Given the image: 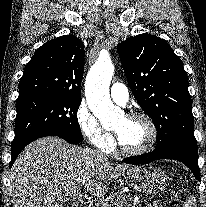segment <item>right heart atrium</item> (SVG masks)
Instances as JSON below:
<instances>
[{"mask_svg":"<svg viewBox=\"0 0 206 207\" xmlns=\"http://www.w3.org/2000/svg\"><path fill=\"white\" fill-rule=\"evenodd\" d=\"M75 118L81 134L90 145L104 152L114 149L113 136L102 127L85 101L77 107Z\"/></svg>","mask_w":206,"mask_h":207,"instance_id":"1","label":"right heart atrium"}]
</instances>
